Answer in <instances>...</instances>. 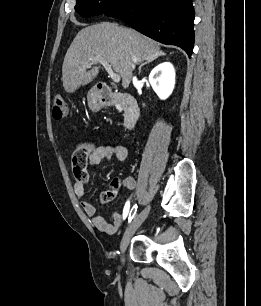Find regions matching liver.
<instances>
[{
  "instance_id": "1",
  "label": "liver",
  "mask_w": 261,
  "mask_h": 306,
  "mask_svg": "<svg viewBox=\"0 0 261 306\" xmlns=\"http://www.w3.org/2000/svg\"><path fill=\"white\" fill-rule=\"evenodd\" d=\"M160 45L137 31L114 23H100L78 32L66 52L62 65V81L66 92L73 93L80 86L92 82L99 67L90 70V59H105L122 77V86L131 82L135 64L150 60L160 53Z\"/></svg>"
}]
</instances>
